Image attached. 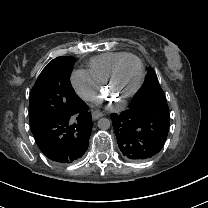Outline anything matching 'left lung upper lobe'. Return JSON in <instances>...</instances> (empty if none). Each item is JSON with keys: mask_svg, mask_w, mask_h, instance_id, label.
Returning a JSON list of instances; mask_svg holds the SVG:
<instances>
[{"mask_svg": "<svg viewBox=\"0 0 208 208\" xmlns=\"http://www.w3.org/2000/svg\"><path fill=\"white\" fill-rule=\"evenodd\" d=\"M147 82L134 97L129 108L150 111L170 118L167 101L153 68H148Z\"/></svg>", "mask_w": 208, "mask_h": 208, "instance_id": "5c2ea615", "label": "left lung upper lobe"}]
</instances>
